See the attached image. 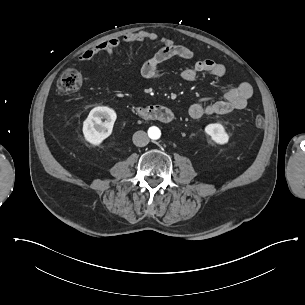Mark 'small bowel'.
<instances>
[{
    "label": "small bowel",
    "mask_w": 305,
    "mask_h": 305,
    "mask_svg": "<svg viewBox=\"0 0 305 305\" xmlns=\"http://www.w3.org/2000/svg\"><path fill=\"white\" fill-rule=\"evenodd\" d=\"M125 43L155 42L162 47L141 67V75L148 80H156L160 77V65L172 57L182 59H193L194 53L191 49L175 44L169 37L151 31H138L124 35ZM121 45L119 39L110 37L106 42L97 43L86 50L81 58L91 59L93 55L109 49H117ZM207 72L214 77L222 78L226 75L225 65L210 58L199 59L182 72V78L186 82H193L200 73ZM253 88L247 81H241L236 87L227 90L224 98L220 100L202 98L189 107V115L192 118H200L205 115L223 114L232 110L244 109L248 100L252 97Z\"/></svg>",
    "instance_id": "c3829d8e"
}]
</instances>
